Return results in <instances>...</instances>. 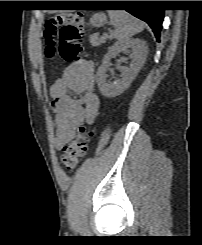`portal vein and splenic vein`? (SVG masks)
<instances>
[{
	"label": "portal vein and splenic vein",
	"instance_id": "obj_1",
	"mask_svg": "<svg viewBox=\"0 0 202 245\" xmlns=\"http://www.w3.org/2000/svg\"><path fill=\"white\" fill-rule=\"evenodd\" d=\"M102 37H103V38H107V35H106V34H104Z\"/></svg>",
	"mask_w": 202,
	"mask_h": 245
}]
</instances>
